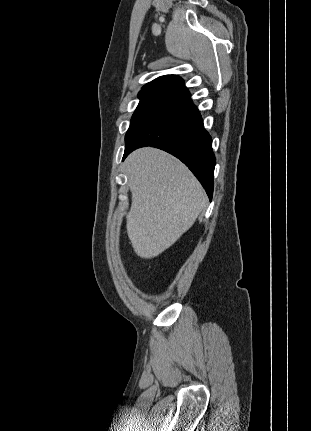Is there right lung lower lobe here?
<instances>
[{
  "mask_svg": "<svg viewBox=\"0 0 311 431\" xmlns=\"http://www.w3.org/2000/svg\"><path fill=\"white\" fill-rule=\"evenodd\" d=\"M144 146L162 149L179 158L212 199L215 167L212 139L190 96L172 104L142 127L125 146L123 160L133 150Z\"/></svg>",
  "mask_w": 311,
  "mask_h": 431,
  "instance_id": "98d812e1",
  "label": "right lung lower lobe"
}]
</instances>
